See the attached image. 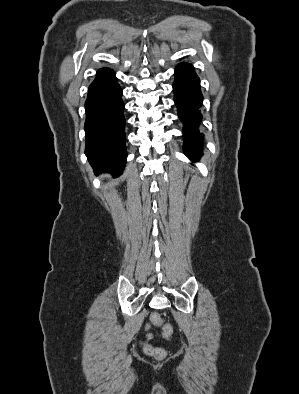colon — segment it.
Here are the masks:
<instances>
[{
    "label": "colon",
    "mask_w": 299,
    "mask_h": 394,
    "mask_svg": "<svg viewBox=\"0 0 299 394\" xmlns=\"http://www.w3.org/2000/svg\"><path fill=\"white\" fill-rule=\"evenodd\" d=\"M151 319L156 325L161 327L164 338L170 339L172 336V327L169 324H163L161 315L155 312L151 315ZM144 351L148 356L156 360H162L166 357L165 349L156 347L150 343L144 345Z\"/></svg>",
    "instance_id": "5ec220e1"
}]
</instances>
